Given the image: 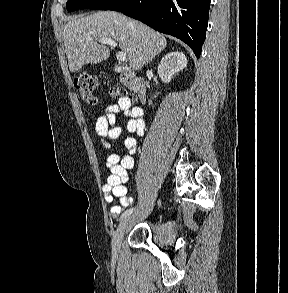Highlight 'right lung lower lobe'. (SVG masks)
<instances>
[{
	"label": "right lung lower lobe",
	"mask_w": 288,
	"mask_h": 293,
	"mask_svg": "<svg viewBox=\"0 0 288 293\" xmlns=\"http://www.w3.org/2000/svg\"><path fill=\"white\" fill-rule=\"evenodd\" d=\"M210 0H122L119 11L185 42L199 58L206 37Z\"/></svg>",
	"instance_id": "1"
}]
</instances>
